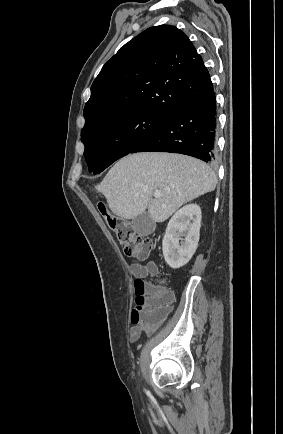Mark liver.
I'll use <instances>...</instances> for the list:
<instances>
[{"label":"liver","instance_id":"liver-1","mask_svg":"<svg viewBox=\"0 0 283 434\" xmlns=\"http://www.w3.org/2000/svg\"><path fill=\"white\" fill-rule=\"evenodd\" d=\"M216 184L212 169L196 158L142 152L120 159L95 189L121 218L134 219L148 210L154 222H163L183 204L213 191ZM156 190L161 197L153 199Z\"/></svg>","mask_w":283,"mask_h":434}]
</instances>
